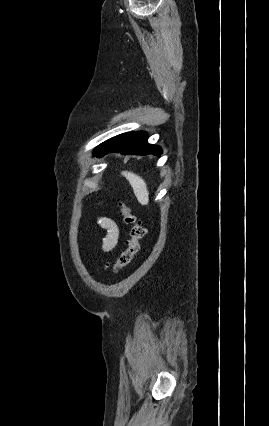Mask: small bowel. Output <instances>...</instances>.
<instances>
[{
	"label": "small bowel",
	"mask_w": 269,
	"mask_h": 426,
	"mask_svg": "<svg viewBox=\"0 0 269 426\" xmlns=\"http://www.w3.org/2000/svg\"><path fill=\"white\" fill-rule=\"evenodd\" d=\"M98 224L106 231L102 240L101 249L103 253H109L117 245L119 238V228L114 220L111 218L101 216L98 218Z\"/></svg>",
	"instance_id": "small-bowel-1"
}]
</instances>
